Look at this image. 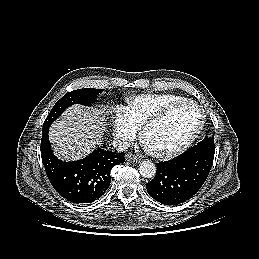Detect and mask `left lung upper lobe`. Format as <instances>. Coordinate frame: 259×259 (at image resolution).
<instances>
[{"label":"left lung upper lobe","mask_w":259,"mask_h":259,"mask_svg":"<svg viewBox=\"0 0 259 259\" xmlns=\"http://www.w3.org/2000/svg\"><path fill=\"white\" fill-rule=\"evenodd\" d=\"M197 147L215 151L214 137L205 136V138L197 144Z\"/></svg>","instance_id":"1"}]
</instances>
